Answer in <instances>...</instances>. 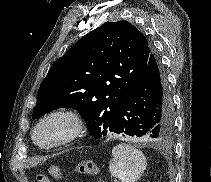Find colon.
Wrapping results in <instances>:
<instances>
[{
    "label": "colon",
    "mask_w": 211,
    "mask_h": 182,
    "mask_svg": "<svg viewBox=\"0 0 211 182\" xmlns=\"http://www.w3.org/2000/svg\"><path fill=\"white\" fill-rule=\"evenodd\" d=\"M75 172L81 175L96 176L99 174V169L94 161L87 160V161L80 162L77 165ZM49 174L51 177L57 178V179L62 177V173L60 169L56 166H52L49 169ZM37 182H51V179L46 174H40L37 176ZM100 182H103V181L100 180Z\"/></svg>",
    "instance_id": "colon-1"
}]
</instances>
